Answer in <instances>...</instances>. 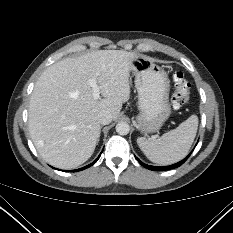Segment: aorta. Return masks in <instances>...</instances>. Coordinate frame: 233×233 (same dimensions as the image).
Returning a JSON list of instances; mask_svg holds the SVG:
<instances>
[{
    "label": "aorta",
    "instance_id": "aorta-1",
    "mask_svg": "<svg viewBox=\"0 0 233 233\" xmlns=\"http://www.w3.org/2000/svg\"><path fill=\"white\" fill-rule=\"evenodd\" d=\"M130 131V126L127 122L121 121L116 125V132L120 135H127Z\"/></svg>",
    "mask_w": 233,
    "mask_h": 233
}]
</instances>
